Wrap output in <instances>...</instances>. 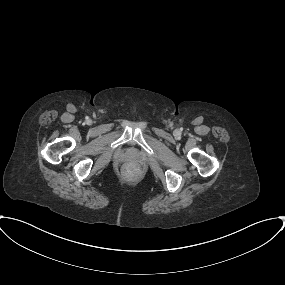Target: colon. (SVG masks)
<instances>
[{
	"label": "colon",
	"mask_w": 285,
	"mask_h": 285,
	"mask_svg": "<svg viewBox=\"0 0 285 285\" xmlns=\"http://www.w3.org/2000/svg\"><path fill=\"white\" fill-rule=\"evenodd\" d=\"M125 169H126L127 171H131V170H133V167H132V166H127Z\"/></svg>",
	"instance_id": "obj_1"
}]
</instances>
